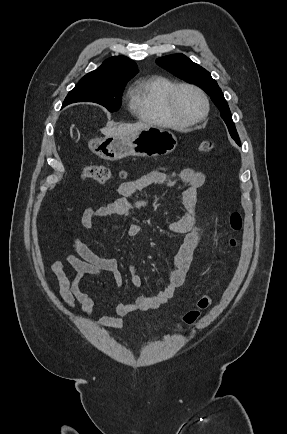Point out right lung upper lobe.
I'll return each instance as SVG.
<instances>
[{"label":"right lung upper lobe","mask_w":287,"mask_h":434,"mask_svg":"<svg viewBox=\"0 0 287 434\" xmlns=\"http://www.w3.org/2000/svg\"><path fill=\"white\" fill-rule=\"evenodd\" d=\"M136 63L125 56H114L105 60L96 70L86 74L83 79L129 81L138 73Z\"/></svg>","instance_id":"cb5924a9"}]
</instances>
